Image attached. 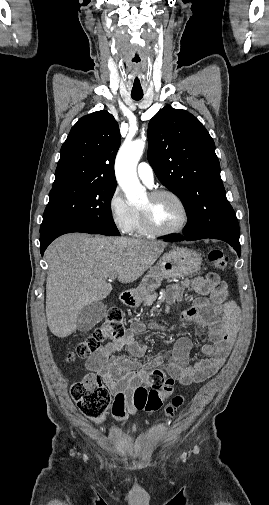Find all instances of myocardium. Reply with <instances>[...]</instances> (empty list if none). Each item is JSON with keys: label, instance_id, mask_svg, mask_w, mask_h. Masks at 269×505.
<instances>
[{"label": "myocardium", "instance_id": "myocardium-1", "mask_svg": "<svg viewBox=\"0 0 269 505\" xmlns=\"http://www.w3.org/2000/svg\"><path fill=\"white\" fill-rule=\"evenodd\" d=\"M148 195L151 199H156L161 196H169V197L173 198L180 205V207L183 211V219L178 226H176L174 228H170V229H162V228L157 227L153 223L151 216L149 214V211L147 209H143V208L139 207V212H140L142 224L148 233L153 234V235H157V236H166V235H173V234L180 233L186 228V226L188 225V223L190 221V212H189L187 204L185 203V201L182 199L181 196H179L177 193H175L174 191L169 190V189H156V190L149 192Z\"/></svg>", "mask_w": 269, "mask_h": 505}]
</instances>
